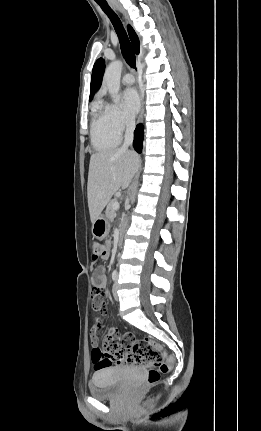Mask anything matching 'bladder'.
Returning <instances> with one entry per match:
<instances>
[{"label":"bladder","mask_w":261,"mask_h":431,"mask_svg":"<svg viewBox=\"0 0 261 431\" xmlns=\"http://www.w3.org/2000/svg\"><path fill=\"white\" fill-rule=\"evenodd\" d=\"M125 369L105 368L96 371L90 382L89 392L98 399H110L119 394L123 388Z\"/></svg>","instance_id":"31cf9c89"}]
</instances>
